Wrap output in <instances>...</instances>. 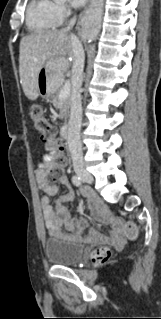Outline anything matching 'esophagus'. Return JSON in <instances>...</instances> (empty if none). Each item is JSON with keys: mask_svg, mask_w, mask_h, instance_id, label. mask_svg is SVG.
Masks as SVG:
<instances>
[{"mask_svg": "<svg viewBox=\"0 0 161 319\" xmlns=\"http://www.w3.org/2000/svg\"><path fill=\"white\" fill-rule=\"evenodd\" d=\"M77 27L79 28V33H80V22L77 23Z\"/></svg>", "mask_w": 161, "mask_h": 319, "instance_id": "esophagus-1", "label": "esophagus"}]
</instances>
